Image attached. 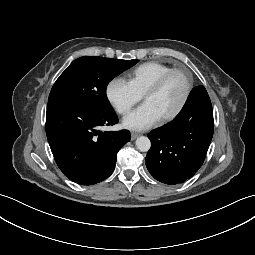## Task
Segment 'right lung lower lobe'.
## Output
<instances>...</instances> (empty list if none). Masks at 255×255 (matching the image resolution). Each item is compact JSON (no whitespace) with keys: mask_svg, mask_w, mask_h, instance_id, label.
Segmentation results:
<instances>
[{"mask_svg":"<svg viewBox=\"0 0 255 255\" xmlns=\"http://www.w3.org/2000/svg\"><path fill=\"white\" fill-rule=\"evenodd\" d=\"M118 121L114 112L102 114L71 102L48 103L47 139L58 167L67 178L92 185L112 174L117 152L130 140V133L100 129Z\"/></svg>","mask_w":255,"mask_h":255,"instance_id":"98d812e1","label":"right lung lower lobe"}]
</instances>
